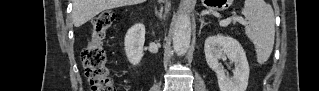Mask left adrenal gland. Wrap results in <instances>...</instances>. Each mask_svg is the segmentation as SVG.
Segmentation results:
<instances>
[{
    "label": "left adrenal gland",
    "instance_id": "obj_1",
    "mask_svg": "<svg viewBox=\"0 0 319 91\" xmlns=\"http://www.w3.org/2000/svg\"><path fill=\"white\" fill-rule=\"evenodd\" d=\"M208 23H206L205 21H204V18L202 17L201 19H200V30H199V33L201 32V30H202V28L205 26V25H207Z\"/></svg>",
    "mask_w": 319,
    "mask_h": 91
}]
</instances>
